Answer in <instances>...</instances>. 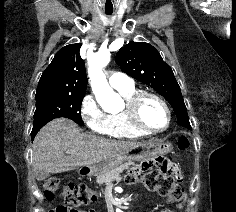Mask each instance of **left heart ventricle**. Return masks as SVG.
Returning <instances> with one entry per match:
<instances>
[{
    "label": "left heart ventricle",
    "mask_w": 236,
    "mask_h": 212,
    "mask_svg": "<svg viewBox=\"0 0 236 212\" xmlns=\"http://www.w3.org/2000/svg\"><path fill=\"white\" fill-rule=\"evenodd\" d=\"M143 122L150 128L161 129L167 125L168 116L164 107L154 99H147L142 108Z\"/></svg>",
    "instance_id": "left-heart-ventricle-1"
}]
</instances>
